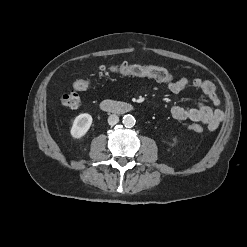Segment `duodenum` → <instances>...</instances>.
I'll return each instance as SVG.
<instances>
[{
  "instance_id": "duodenum-1",
  "label": "duodenum",
  "mask_w": 247,
  "mask_h": 247,
  "mask_svg": "<svg viewBox=\"0 0 247 247\" xmlns=\"http://www.w3.org/2000/svg\"><path fill=\"white\" fill-rule=\"evenodd\" d=\"M101 108L106 112L112 113H127L133 109L132 106L128 103L118 102L114 100L102 101Z\"/></svg>"
}]
</instances>
